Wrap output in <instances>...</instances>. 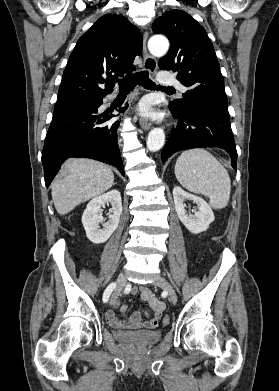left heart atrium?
Instances as JSON below:
<instances>
[{"label":"left heart atrium","instance_id":"obj_1","mask_svg":"<svg viewBox=\"0 0 279 391\" xmlns=\"http://www.w3.org/2000/svg\"><path fill=\"white\" fill-rule=\"evenodd\" d=\"M139 112L142 116H145V117H152L154 116V111L152 109V106H151V102L150 100L148 99H143L141 102H140V105H139Z\"/></svg>","mask_w":279,"mask_h":391}]
</instances>
